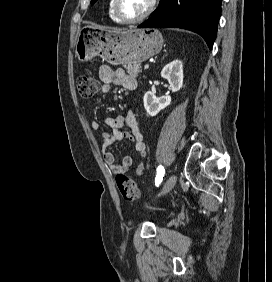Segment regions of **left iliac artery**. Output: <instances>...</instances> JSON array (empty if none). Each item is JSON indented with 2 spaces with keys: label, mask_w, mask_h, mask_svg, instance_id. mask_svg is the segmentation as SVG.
<instances>
[{
  "label": "left iliac artery",
  "mask_w": 272,
  "mask_h": 282,
  "mask_svg": "<svg viewBox=\"0 0 272 282\" xmlns=\"http://www.w3.org/2000/svg\"><path fill=\"white\" fill-rule=\"evenodd\" d=\"M164 174H165V169L163 166H159L157 168V175H156V178H155V185L156 186H159L160 183L162 182L163 180V177H164Z\"/></svg>",
  "instance_id": "1"
}]
</instances>
